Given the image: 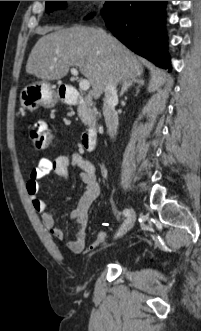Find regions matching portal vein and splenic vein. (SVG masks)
I'll return each instance as SVG.
<instances>
[{
  "label": "portal vein and splenic vein",
  "mask_w": 201,
  "mask_h": 331,
  "mask_svg": "<svg viewBox=\"0 0 201 331\" xmlns=\"http://www.w3.org/2000/svg\"><path fill=\"white\" fill-rule=\"evenodd\" d=\"M71 73L74 75V76H78V70L75 69V68H71ZM79 87L82 91H88L89 88H90V82L86 79H81L79 81Z\"/></svg>",
  "instance_id": "obj_1"
}]
</instances>
